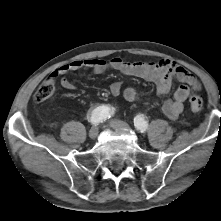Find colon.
Wrapping results in <instances>:
<instances>
[{"label":"colon","instance_id":"colon-1","mask_svg":"<svg viewBox=\"0 0 221 221\" xmlns=\"http://www.w3.org/2000/svg\"><path fill=\"white\" fill-rule=\"evenodd\" d=\"M55 92V79H45L36 89L33 100L37 103L43 102L49 99ZM190 107L194 112H200L203 108V100L199 95L193 94L190 99Z\"/></svg>","mask_w":221,"mask_h":221}]
</instances>
